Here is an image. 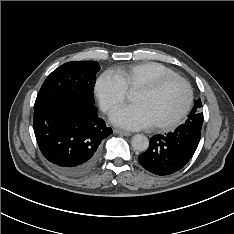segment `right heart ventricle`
<instances>
[{"instance_id": "right-heart-ventricle-1", "label": "right heart ventricle", "mask_w": 234, "mask_h": 234, "mask_svg": "<svg viewBox=\"0 0 234 234\" xmlns=\"http://www.w3.org/2000/svg\"><path fill=\"white\" fill-rule=\"evenodd\" d=\"M115 74L123 82L127 91L149 84L165 76L177 75L174 70L156 62L137 63L118 67Z\"/></svg>"}]
</instances>
